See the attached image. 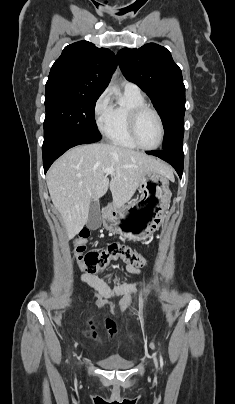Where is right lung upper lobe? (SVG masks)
<instances>
[{"label": "right lung upper lobe", "instance_id": "obj_1", "mask_svg": "<svg viewBox=\"0 0 235 404\" xmlns=\"http://www.w3.org/2000/svg\"><path fill=\"white\" fill-rule=\"evenodd\" d=\"M116 66V56L112 51L79 41L64 48L50 70L46 88L62 87L100 96Z\"/></svg>", "mask_w": 235, "mask_h": 404}]
</instances>
